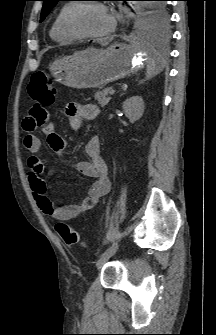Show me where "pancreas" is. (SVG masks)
<instances>
[{"instance_id": "1", "label": "pancreas", "mask_w": 216, "mask_h": 335, "mask_svg": "<svg viewBox=\"0 0 216 335\" xmlns=\"http://www.w3.org/2000/svg\"><path fill=\"white\" fill-rule=\"evenodd\" d=\"M111 89L112 88L109 87L95 93L94 98L101 107H105L111 100L109 96Z\"/></svg>"}]
</instances>
